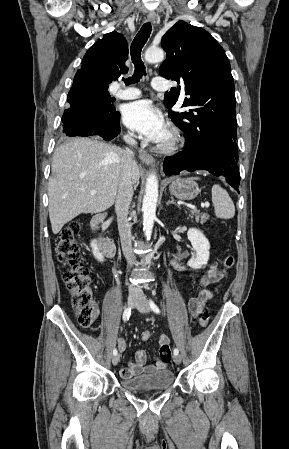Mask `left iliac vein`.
<instances>
[{
	"instance_id": "1",
	"label": "left iliac vein",
	"mask_w": 289,
	"mask_h": 449,
	"mask_svg": "<svg viewBox=\"0 0 289 449\" xmlns=\"http://www.w3.org/2000/svg\"><path fill=\"white\" fill-rule=\"evenodd\" d=\"M136 308L141 313H148V312H150L149 303H148L147 299L145 298V296L142 293L138 297V300H137V303H136ZM181 360H182V358H181L180 355L177 354V355L173 356V361L176 364H180Z\"/></svg>"
}]
</instances>
